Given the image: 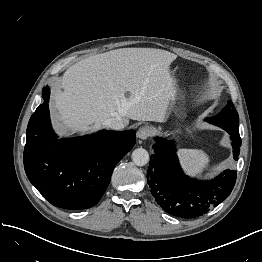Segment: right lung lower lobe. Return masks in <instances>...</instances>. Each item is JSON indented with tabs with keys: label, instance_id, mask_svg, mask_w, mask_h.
<instances>
[{
	"label": "right lung lower lobe",
	"instance_id": "1",
	"mask_svg": "<svg viewBox=\"0 0 262 262\" xmlns=\"http://www.w3.org/2000/svg\"><path fill=\"white\" fill-rule=\"evenodd\" d=\"M45 101L27 127L24 167L30 182L53 205L80 210L96 205L107 189L116 164L135 144V130H101L71 139H57Z\"/></svg>",
	"mask_w": 262,
	"mask_h": 262
}]
</instances>
